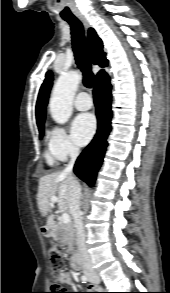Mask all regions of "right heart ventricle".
I'll return each instance as SVG.
<instances>
[{
    "label": "right heart ventricle",
    "instance_id": "right-heart-ventricle-1",
    "mask_svg": "<svg viewBox=\"0 0 170 293\" xmlns=\"http://www.w3.org/2000/svg\"><path fill=\"white\" fill-rule=\"evenodd\" d=\"M45 158H46V161L48 163V165L50 166H54L55 163H56V157L51 153V152H46L45 154Z\"/></svg>",
    "mask_w": 170,
    "mask_h": 293
}]
</instances>
